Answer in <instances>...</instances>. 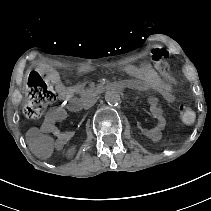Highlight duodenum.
<instances>
[{
  "label": "duodenum",
  "mask_w": 211,
  "mask_h": 211,
  "mask_svg": "<svg viewBox=\"0 0 211 211\" xmlns=\"http://www.w3.org/2000/svg\"><path fill=\"white\" fill-rule=\"evenodd\" d=\"M135 90L138 89V83L136 80H121L112 83H108L105 85H101L95 89V92L100 94L106 91L117 90V91H124V90ZM68 108L72 112H78L82 108V103L78 100H71L68 103Z\"/></svg>",
  "instance_id": "1"
}]
</instances>
